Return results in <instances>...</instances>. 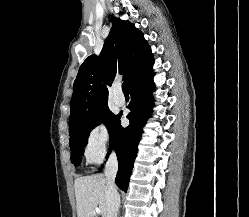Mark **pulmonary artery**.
I'll return each instance as SVG.
<instances>
[{
    "label": "pulmonary artery",
    "instance_id": "obj_1",
    "mask_svg": "<svg viewBox=\"0 0 249 217\" xmlns=\"http://www.w3.org/2000/svg\"><path fill=\"white\" fill-rule=\"evenodd\" d=\"M113 101L118 106H123L125 103V99H124L123 95H120V94H115L113 97Z\"/></svg>",
    "mask_w": 249,
    "mask_h": 217
}]
</instances>
